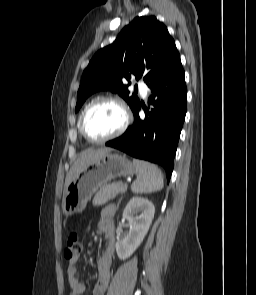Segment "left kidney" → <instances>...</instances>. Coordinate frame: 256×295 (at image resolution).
Listing matches in <instances>:
<instances>
[{"label": "left kidney", "mask_w": 256, "mask_h": 295, "mask_svg": "<svg viewBox=\"0 0 256 295\" xmlns=\"http://www.w3.org/2000/svg\"><path fill=\"white\" fill-rule=\"evenodd\" d=\"M154 214V205L148 199L133 197L129 200L123 211V218L130 223V232L116 242L119 259L129 258L140 246L150 228Z\"/></svg>", "instance_id": "obj_1"}]
</instances>
